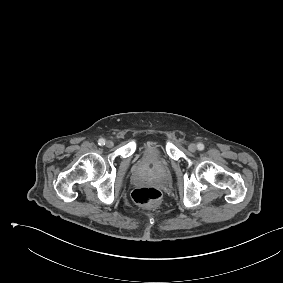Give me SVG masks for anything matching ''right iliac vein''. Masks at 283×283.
<instances>
[{
  "instance_id": "63e3f726",
  "label": "right iliac vein",
  "mask_w": 283,
  "mask_h": 283,
  "mask_svg": "<svg viewBox=\"0 0 283 283\" xmlns=\"http://www.w3.org/2000/svg\"><path fill=\"white\" fill-rule=\"evenodd\" d=\"M113 145H114V143H113L112 141H110V140H108V141L106 142V147H108V148L113 147Z\"/></svg>"
}]
</instances>
